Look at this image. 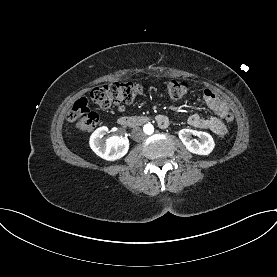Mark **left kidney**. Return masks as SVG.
Listing matches in <instances>:
<instances>
[{"label":"left kidney","instance_id":"1","mask_svg":"<svg viewBox=\"0 0 277 277\" xmlns=\"http://www.w3.org/2000/svg\"><path fill=\"white\" fill-rule=\"evenodd\" d=\"M191 134L197 135L201 141L192 140ZM179 138L186 149L193 154L209 155L215 147L212 136L207 132L182 129L179 131Z\"/></svg>","mask_w":277,"mask_h":277}]
</instances>
